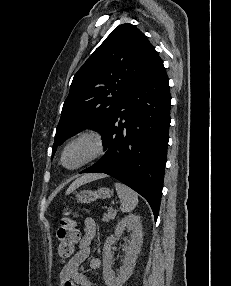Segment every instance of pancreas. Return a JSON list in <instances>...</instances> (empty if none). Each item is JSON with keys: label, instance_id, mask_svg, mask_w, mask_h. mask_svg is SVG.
Segmentation results:
<instances>
[{"label": "pancreas", "instance_id": "obj_1", "mask_svg": "<svg viewBox=\"0 0 231 286\" xmlns=\"http://www.w3.org/2000/svg\"><path fill=\"white\" fill-rule=\"evenodd\" d=\"M116 216V210L114 209H108V212L106 214H104L102 220L105 222L110 221L111 219H114Z\"/></svg>", "mask_w": 231, "mask_h": 286}]
</instances>
